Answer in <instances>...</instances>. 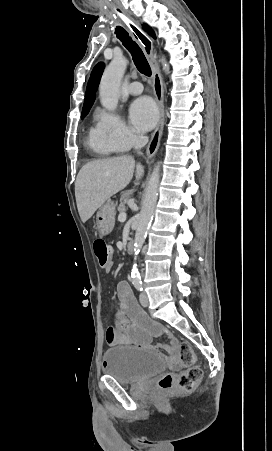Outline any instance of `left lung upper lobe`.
Segmentation results:
<instances>
[{
  "mask_svg": "<svg viewBox=\"0 0 272 451\" xmlns=\"http://www.w3.org/2000/svg\"><path fill=\"white\" fill-rule=\"evenodd\" d=\"M143 29H144L145 31H147L152 37L155 38L154 32L152 31V29H151L148 25L143 24Z\"/></svg>",
  "mask_w": 272,
  "mask_h": 451,
  "instance_id": "left-lung-upper-lobe-1",
  "label": "left lung upper lobe"
}]
</instances>
